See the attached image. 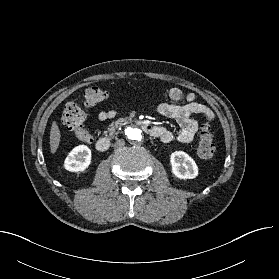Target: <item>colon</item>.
I'll return each instance as SVG.
<instances>
[{"label":"colon","instance_id":"1","mask_svg":"<svg viewBox=\"0 0 279 279\" xmlns=\"http://www.w3.org/2000/svg\"><path fill=\"white\" fill-rule=\"evenodd\" d=\"M108 97V93L99 87H90L83 93V104L87 107L94 106ZM63 125L72 131L82 142L90 143L92 136L84 126L85 113L83 109L75 102H69L65 105L62 113ZM215 144L214 137L209 124L202 126L200 133V142L198 146V156L208 160L214 156Z\"/></svg>","mask_w":279,"mask_h":279}]
</instances>
